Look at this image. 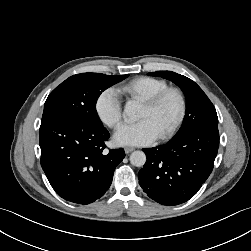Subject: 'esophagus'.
Masks as SVG:
<instances>
[{
  "label": "esophagus",
  "instance_id": "esophagus-1",
  "mask_svg": "<svg viewBox=\"0 0 251 251\" xmlns=\"http://www.w3.org/2000/svg\"><path fill=\"white\" fill-rule=\"evenodd\" d=\"M133 150H134V148H132V147H126V148L124 149V151H125L126 154L132 152Z\"/></svg>",
  "mask_w": 251,
  "mask_h": 251
}]
</instances>
